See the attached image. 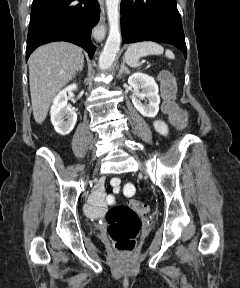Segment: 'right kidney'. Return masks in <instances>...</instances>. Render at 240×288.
I'll return each instance as SVG.
<instances>
[{
	"label": "right kidney",
	"mask_w": 240,
	"mask_h": 288,
	"mask_svg": "<svg viewBox=\"0 0 240 288\" xmlns=\"http://www.w3.org/2000/svg\"><path fill=\"white\" fill-rule=\"evenodd\" d=\"M77 90V85L72 84L60 91L53 100L50 115L54 129L60 135H68L74 128L77 121V114L69 105L67 92Z\"/></svg>",
	"instance_id": "1"
}]
</instances>
